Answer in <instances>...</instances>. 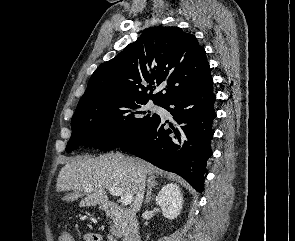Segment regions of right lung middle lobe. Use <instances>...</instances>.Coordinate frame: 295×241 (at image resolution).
<instances>
[{
    "label": "right lung middle lobe",
    "instance_id": "dd1d6c3e",
    "mask_svg": "<svg viewBox=\"0 0 295 241\" xmlns=\"http://www.w3.org/2000/svg\"><path fill=\"white\" fill-rule=\"evenodd\" d=\"M146 104L122 97L80 101L71 121L72 135L66 151L80 145L102 151L120 147L158 117L146 110Z\"/></svg>",
    "mask_w": 295,
    "mask_h": 241
}]
</instances>
